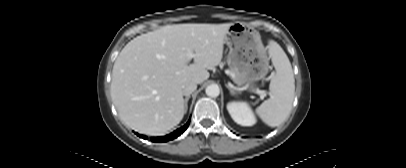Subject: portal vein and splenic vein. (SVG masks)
<instances>
[{
	"label": "portal vein and splenic vein",
	"mask_w": 406,
	"mask_h": 168,
	"mask_svg": "<svg viewBox=\"0 0 406 168\" xmlns=\"http://www.w3.org/2000/svg\"><path fill=\"white\" fill-rule=\"evenodd\" d=\"M194 57H195V54H193L192 52H188V59L189 60H191ZM256 93L260 95L261 99H263L265 97V95H266L265 91H262V90H257Z\"/></svg>",
	"instance_id": "portal-vein-and-splenic-vein-1"
}]
</instances>
